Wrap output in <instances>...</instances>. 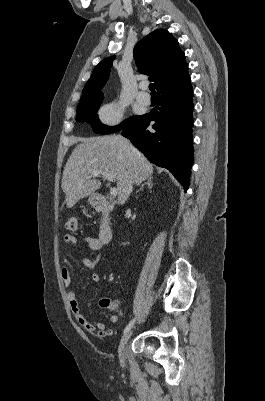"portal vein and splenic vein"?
<instances>
[{
  "mask_svg": "<svg viewBox=\"0 0 265 401\" xmlns=\"http://www.w3.org/2000/svg\"><path fill=\"white\" fill-rule=\"evenodd\" d=\"M98 174H103V176H105V178H108V180H115L114 176H112V174H109V172H105V170H92L91 172V176H98ZM118 190L117 188H111L110 190V194H112V196H116Z\"/></svg>",
  "mask_w": 265,
  "mask_h": 401,
  "instance_id": "18ae733b",
  "label": "portal vein and splenic vein"
}]
</instances>
